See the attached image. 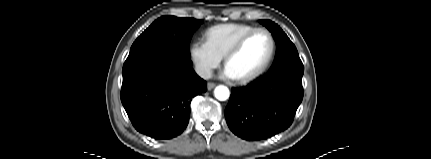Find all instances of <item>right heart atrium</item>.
Returning a JSON list of instances; mask_svg holds the SVG:
<instances>
[{
  "label": "right heart atrium",
  "mask_w": 431,
  "mask_h": 159,
  "mask_svg": "<svg viewBox=\"0 0 431 159\" xmlns=\"http://www.w3.org/2000/svg\"><path fill=\"white\" fill-rule=\"evenodd\" d=\"M189 55L197 73L203 78H209L222 61V57L203 39L190 44Z\"/></svg>",
  "instance_id": "d8ad5b80"
}]
</instances>
